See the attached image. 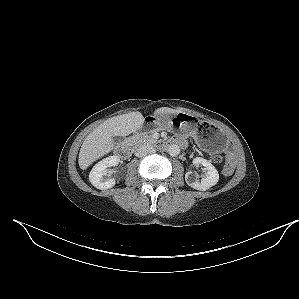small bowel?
Segmentation results:
<instances>
[{
    "instance_id": "small-bowel-1",
    "label": "small bowel",
    "mask_w": 299,
    "mask_h": 299,
    "mask_svg": "<svg viewBox=\"0 0 299 299\" xmlns=\"http://www.w3.org/2000/svg\"><path fill=\"white\" fill-rule=\"evenodd\" d=\"M180 140H182V139H180ZM182 141L184 142V145H185V141H184V140H182ZM184 145H183V146H184Z\"/></svg>"
}]
</instances>
